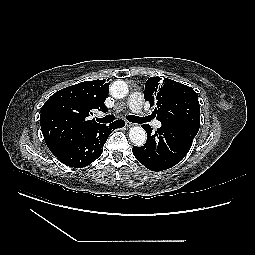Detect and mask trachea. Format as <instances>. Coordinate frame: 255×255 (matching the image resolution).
I'll return each instance as SVG.
<instances>
[{
    "instance_id": "1",
    "label": "trachea",
    "mask_w": 255,
    "mask_h": 255,
    "mask_svg": "<svg viewBox=\"0 0 255 255\" xmlns=\"http://www.w3.org/2000/svg\"><path fill=\"white\" fill-rule=\"evenodd\" d=\"M126 118H127L128 121L134 122V123H144V122L148 121V119H146V118L137 117V116H134V115H128ZM96 120L99 123L108 124V123H111L114 120V115H108V116H105L103 118H97L96 117Z\"/></svg>"
}]
</instances>
